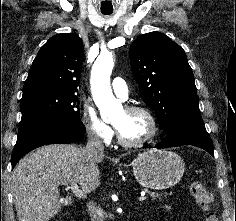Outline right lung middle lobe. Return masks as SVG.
<instances>
[{"instance_id":"right-lung-middle-lobe-1","label":"right lung middle lobe","mask_w":236,"mask_h":221,"mask_svg":"<svg viewBox=\"0 0 236 221\" xmlns=\"http://www.w3.org/2000/svg\"><path fill=\"white\" fill-rule=\"evenodd\" d=\"M21 123L34 119H55L82 126L78 96L73 92L40 90L23 94Z\"/></svg>"}]
</instances>
